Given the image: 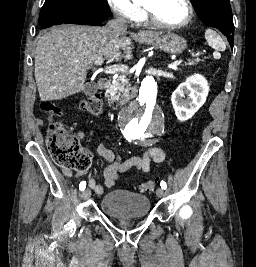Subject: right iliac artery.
<instances>
[{
	"instance_id": "1",
	"label": "right iliac artery",
	"mask_w": 256,
	"mask_h": 267,
	"mask_svg": "<svg viewBox=\"0 0 256 267\" xmlns=\"http://www.w3.org/2000/svg\"><path fill=\"white\" fill-rule=\"evenodd\" d=\"M85 188H86V181H82V182L79 184V189H80L81 191H83Z\"/></svg>"
}]
</instances>
